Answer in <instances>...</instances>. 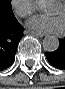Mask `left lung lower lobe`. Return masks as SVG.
<instances>
[{"label":"left lung lower lobe","mask_w":65,"mask_h":89,"mask_svg":"<svg viewBox=\"0 0 65 89\" xmlns=\"http://www.w3.org/2000/svg\"><path fill=\"white\" fill-rule=\"evenodd\" d=\"M49 63L58 69H65V38L59 40V47L56 51L46 53Z\"/></svg>","instance_id":"1"}]
</instances>
